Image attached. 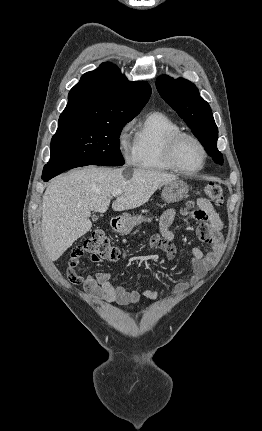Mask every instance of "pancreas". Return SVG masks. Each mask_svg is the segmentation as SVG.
Listing matches in <instances>:
<instances>
[{"mask_svg":"<svg viewBox=\"0 0 262 431\" xmlns=\"http://www.w3.org/2000/svg\"><path fill=\"white\" fill-rule=\"evenodd\" d=\"M147 221H148V222H150V221H151V218H148V220H147ZM136 232H137V231H136ZM136 232H135V233H136Z\"/></svg>","mask_w":262,"mask_h":431,"instance_id":"1","label":"pancreas"}]
</instances>
